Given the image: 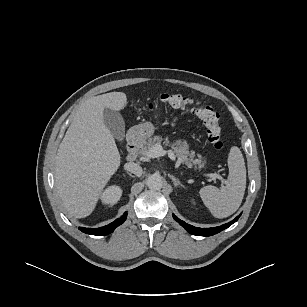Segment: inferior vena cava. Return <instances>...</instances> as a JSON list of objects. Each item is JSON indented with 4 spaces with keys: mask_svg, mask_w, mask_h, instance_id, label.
Returning <instances> with one entry per match:
<instances>
[{
    "mask_svg": "<svg viewBox=\"0 0 307 307\" xmlns=\"http://www.w3.org/2000/svg\"><path fill=\"white\" fill-rule=\"evenodd\" d=\"M124 169L140 177L143 173L142 167L136 163L129 162L124 165Z\"/></svg>",
    "mask_w": 307,
    "mask_h": 307,
    "instance_id": "inferior-vena-cava-1",
    "label": "inferior vena cava"
}]
</instances>
